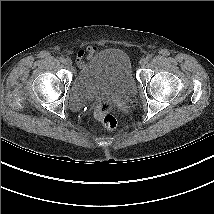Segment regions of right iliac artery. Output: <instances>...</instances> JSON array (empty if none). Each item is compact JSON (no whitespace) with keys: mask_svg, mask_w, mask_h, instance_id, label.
I'll list each match as a JSON object with an SVG mask.
<instances>
[{"mask_svg":"<svg viewBox=\"0 0 214 214\" xmlns=\"http://www.w3.org/2000/svg\"><path fill=\"white\" fill-rule=\"evenodd\" d=\"M66 59L64 57H60V62H63L65 61Z\"/></svg>","mask_w":214,"mask_h":214,"instance_id":"1","label":"right iliac artery"}]
</instances>
